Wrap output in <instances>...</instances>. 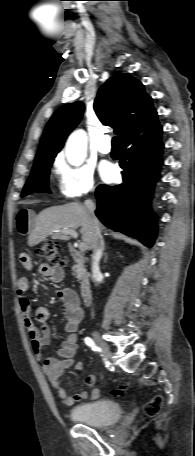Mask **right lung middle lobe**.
Listing matches in <instances>:
<instances>
[{"label": "right lung middle lobe", "instance_id": "right-lung-middle-lobe-1", "mask_svg": "<svg viewBox=\"0 0 195 456\" xmlns=\"http://www.w3.org/2000/svg\"><path fill=\"white\" fill-rule=\"evenodd\" d=\"M52 163L53 159H46L34 164L21 196H26L34 192H50L48 188V177Z\"/></svg>", "mask_w": 195, "mask_h": 456}]
</instances>
